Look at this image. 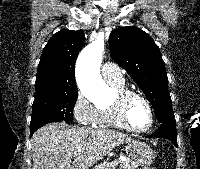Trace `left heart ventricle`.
I'll return each instance as SVG.
<instances>
[{
    "mask_svg": "<svg viewBox=\"0 0 200 169\" xmlns=\"http://www.w3.org/2000/svg\"><path fill=\"white\" fill-rule=\"evenodd\" d=\"M130 123L136 128H143L149 124L150 113L146 104L139 98H133L128 105Z\"/></svg>",
    "mask_w": 200,
    "mask_h": 169,
    "instance_id": "b2bd125f",
    "label": "left heart ventricle"
}]
</instances>
